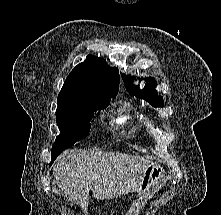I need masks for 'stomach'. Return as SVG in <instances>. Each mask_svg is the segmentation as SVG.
Returning <instances> with one entry per match:
<instances>
[{"label": "stomach", "mask_w": 221, "mask_h": 215, "mask_svg": "<svg viewBox=\"0 0 221 215\" xmlns=\"http://www.w3.org/2000/svg\"><path fill=\"white\" fill-rule=\"evenodd\" d=\"M165 182V169L160 165L149 163L139 182L137 199L132 203L127 215H138L150 193L160 189Z\"/></svg>", "instance_id": "stomach-1"}]
</instances>
